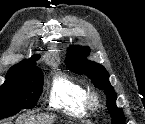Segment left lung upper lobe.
<instances>
[{
    "instance_id": "5c2ea615",
    "label": "left lung upper lobe",
    "mask_w": 145,
    "mask_h": 124,
    "mask_svg": "<svg viewBox=\"0 0 145 124\" xmlns=\"http://www.w3.org/2000/svg\"><path fill=\"white\" fill-rule=\"evenodd\" d=\"M89 54L88 48L71 47L66 60L68 68L79 75L88 76L94 85L104 90L107 96V108L112 117V124H124L122 109L116 108V93L109 83V75L103 66L98 63L86 61Z\"/></svg>"
}]
</instances>
